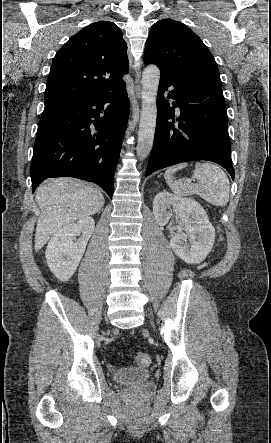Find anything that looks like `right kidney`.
I'll use <instances>...</instances> for the list:
<instances>
[{"mask_svg":"<svg viewBox=\"0 0 271 443\" xmlns=\"http://www.w3.org/2000/svg\"><path fill=\"white\" fill-rule=\"evenodd\" d=\"M94 227L93 218L86 216L76 223L64 225L61 231L52 235L47 245L46 259L52 273L60 281H68L75 273ZM76 235H79L78 239Z\"/></svg>","mask_w":271,"mask_h":443,"instance_id":"obj_1","label":"right kidney"}]
</instances>
